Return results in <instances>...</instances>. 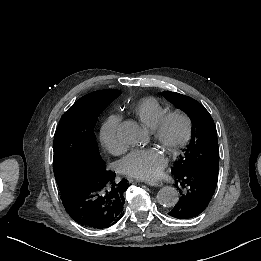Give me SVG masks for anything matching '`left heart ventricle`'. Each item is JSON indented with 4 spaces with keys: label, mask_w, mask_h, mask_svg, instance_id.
I'll list each match as a JSON object with an SVG mask.
<instances>
[{
    "label": "left heart ventricle",
    "mask_w": 261,
    "mask_h": 261,
    "mask_svg": "<svg viewBox=\"0 0 261 261\" xmlns=\"http://www.w3.org/2000/svg\"><path fill=\"white\" fill-rule=\"evenodd\" d=\"M145 129H146V131L148 133V137H149L147 140V142H148L151 139V133L146 126H145ZM183 131H184L183 123L180 120H174L168 126L165 142H163V143L159 142V143L166 150L167 145L175 144L176 142H178L180 140V138L182 137Z\"/></svg>",
    "instance_id": "left-heart-ventricle-1"
}]
</instances>
